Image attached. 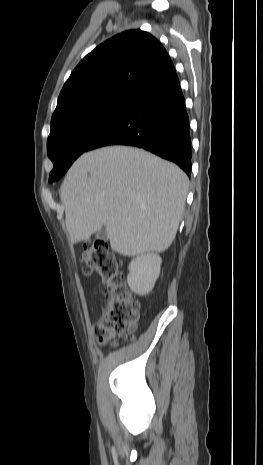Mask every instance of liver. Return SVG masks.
<instances>
[{
  "instance_id": "liver-1",
  "label": "liver",
  "mask_w": 263,
  "mask_h": 465,
  "mask_svg": "<svg viewBox=\"0 0 263 465\" xmlns=\"http://www.w3.org/2000/svg\"><path fill=\"white\" fill-rule=\"evenodd\" d=\"M189 180L175 164L149 152L110 146L81 155L61 186L71 242L106 227L113 251L163 252L182 218Z\"/></svg>"
}]
</instances>
